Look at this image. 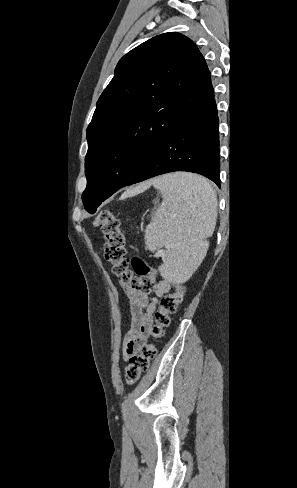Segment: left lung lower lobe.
<instances>
[{
    "label": "left lung lower lobe",
    "mask_w": 297,
    "mask_h": 488,
    "mask_svg": "<svg viewBox=\"0 0 297 488\" xmlns=\"http://www.w3.org/2000/svg\"><path fill=\"white\" fill-rule=\"evenodd\" d=\"M218 124L213 97L173 129L123 186L168 172L188 171L201 174L220 187Z\"/></svg>",
    "instance_id": "1"
}]
</instances>
